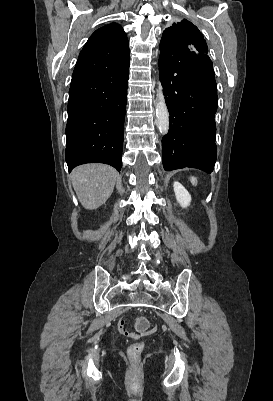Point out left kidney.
Here are the masks:
<instances>
[{"instance_id":"obj_1","label":"left kidney","mask_w":273,"mask_h":401,"mask_svg":"<svg viewBox=\"0 0 273 401\" xmlns=\"http://www.w3.org/2000/svg\"><path fill=\"white\" fill-rule=\"evenodd\" d=\"M173 186L179 205H181V207H189L191 203V194H189L188 190H186L180 182H174Z\"/></svg>"}]
</instances>
